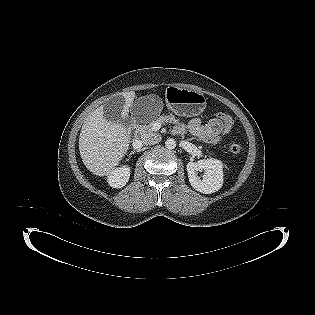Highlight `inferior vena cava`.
<instances>
[{"mask_svg":"<svg viewBox=\"0 0 315 315\" xmlns=\"http://www.w3.org/2000/svg\"><path fill=\"white\" fill-rule=\"evenodd\" d=\"M161 141V137L158 134H152L149 136H146L142 139V144L144 145H154Z\"/></svg>","mask_w":315,"mask_h":315,"instance_id":"1","label":"inferior vena cava"}]
</instances>
